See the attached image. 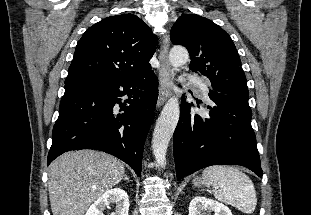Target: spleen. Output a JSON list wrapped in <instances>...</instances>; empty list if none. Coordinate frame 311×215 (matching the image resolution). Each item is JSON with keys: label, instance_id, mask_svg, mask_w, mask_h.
I'll return each mask as SVG.
<instances>
[{"label": "spleen", "instance_id": "3e777b00", "mask_svg": "<svg viewBox=\"0 0 311 215\" xmlns=\"http://www.w3.org/2000/svg\"><path fill=\"white\" fill-rule=\"evenodd\" d=\"M203 184L213 187L216 199L232 205L245 214H252L257 205L252 180L232 166H210L203 170Z\"/></svg>", "mask_w": 311, "mask_h": 215}]
</instances>
